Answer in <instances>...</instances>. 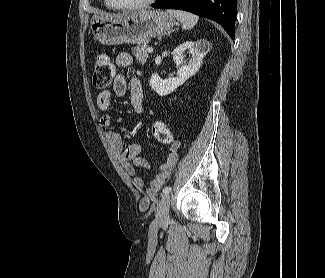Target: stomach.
Listing matches in <instances>:
<instances>
[{
  "label": "stomach",
  "instance_id": "0dacf381",
  "mask_svg": "<svg viewBox=\"0 0 325 278\" xmlns=\"http://www.w3.org/2000/svg\"><path fill=\"white\" fill-rule=\"evenodd\" d=\"M174 24V17L167 12L140 10L123 16L94 15L90 28L103 45L142 44L169 33Z\"/></svg>",
  "mask_w": 325,
  "mask_h": 278
}]
</instances>
